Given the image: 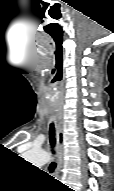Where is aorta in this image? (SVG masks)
I'll return each instance as SVG.
<instances>
[{"mask_svg": "<svg viewBox=\"0 0 114 191\" xmlns=\"http://www.w3.org/2000/svg\"><path fill=\"white\" fill-rule=\"evenodd\" d=\"M24 156L27 161L36 166H42L49 160L48 154L42 150H30Z\"/></svg>", "mask_w": 114, "mask_h": 191, "instance_id": "aorta-1", "label": "aorta"}]
</instances>
